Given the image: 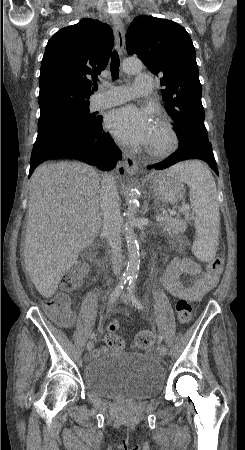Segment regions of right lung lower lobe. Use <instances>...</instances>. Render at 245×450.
<instances>
[{
  "label": "right lung lower lobe",
  "mask_w": 245,
  "mask_h": 450,
  "mask_svg": "<svg viewBox=\"0 0 245 450\" xmlns=\"http://www.w3.org/2000/svg\"><path fill=\"white\" fill-rule=\"evenodd\" d=\"M101 124L102 118L98 117L85 132L57 139L32 150L29 177L40 163L54 158L78 159L101 170L113 169L121 159V152L111 136L102 133Z\"/></svg>",
  "instance_id": "1"
}]
</instances>
